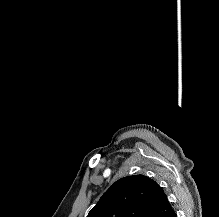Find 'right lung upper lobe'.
<instances>
[{
	"mask_svg": "<svg viewBox=\"0 0 219 217\" xmlns=\"http://www.w3.org/2000/svg\"><path fill=\"white\" fill-rule=\"evenodd\" d=\"M173 211L154 180L132 175L116 181L87 217H168Z\"/></svg>",
	"mask_w": 219,
	"mask_h": 217,
	"instance_id": "cb5924a9",
	"label": "right lung upper lobe"
}]
</instances>
